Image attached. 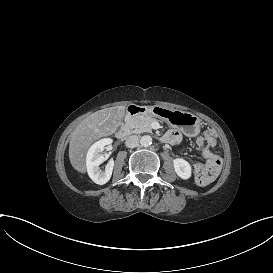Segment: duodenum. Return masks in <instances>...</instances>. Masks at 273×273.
I'll list each match as a JSON object with an SVG mask.
<instances>
[{"instance_id": "410a0bca", "label": "duodenum", "mask_w": 273, "mask_h": 273, "mask_svg": "<svg viewBox=\"0 0 273 273\" xmlns=\"http://www.w3.org/2000/svg\"><path fill=\"white\" fill-rule=\"evenodd\" d=\"M146 113V109L137 106H130L127 111L126 119L129 120L132 117ZM129 133L127 126H122L116 133L118 139H124Z\"/></svg>"}]
</instances>
